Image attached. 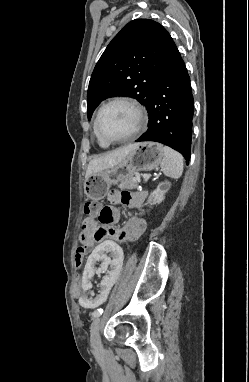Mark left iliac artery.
I'll list each match as a JSON object with an SVG mask.
<instances>
[{
	"mask_svg": "<svg viewBox=\"0 0 249 382\" xmlns=\"http://www.w3.org/2000/svg\"><path fill=\"white\" fill-rule=\"evenodd\" d=\"M103 313V309H97L95 310L93 313H92V317L93 318H96V317H99L101 314Z\"/></svg>",
	"mask_w": 249,
	"mask_h": 382,
	"instance_id": "44dca946",
	"label": "left iliac artery"
}]
</instances>
